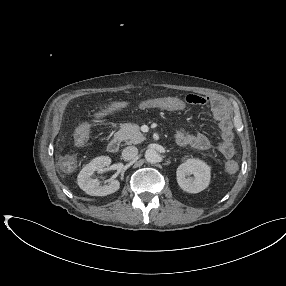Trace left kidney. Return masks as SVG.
Masks as SVG:
<instances>
[{
  "instance_id": "5707ae66",
  "label": "left kidney",
  "mask_w": 286,
  "mask_h": 286,
  "mask_svg": "<svg viewBox=\"0 0 286 286\" xmlns=\"http://www.w3.org/2000/svg\"><path fill=\"white\" fill-rule=\"evenodd\" d=\"M210 170V167L202 160L188 159L177 168V182L184 191L199 193L209 185Z\"/></svg>"
}]
</instances>
